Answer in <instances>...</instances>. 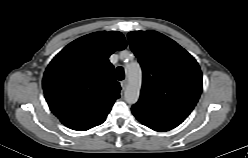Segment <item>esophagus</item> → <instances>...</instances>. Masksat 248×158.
<instances>
[{
  "instance_id": "esophagus-1",
  "label": "esophagus",
  "mask_w": 248,
  "mask_h": 158,
  "mask_svg": "<svg viewBox=\"0 0 248 158\" xmlns=\"http://www.w3.org/2000/svg\"><path fill=\"white\" fill-rule=\"evenodd\" d=\"M127 84H128L127 80L121 81L120 85H121V88H122L123 91L126 89Z\"/></svg>"
}]
</instances>
